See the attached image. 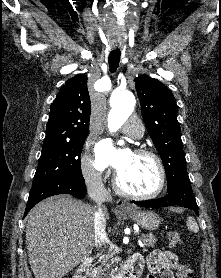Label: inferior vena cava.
<instances>
[{"label":"inferior vena cava","mask_w":221,"mask_h":278,"mask_svg":"<svg viewBox=\"0 0 221 278\" xmlns=\"http://www.w3.org/2000/svg\"><path fill=\"white\" fill-rule=\"evenodd\" d=\"M86 186L89 197L96 203V211L94 215V236L95 245L101 246L107 239L106 235V218L104 202L112 201V197L105 188L101 174L91 170L86 176ZM109 255L104 257L103 262H107Z\"/></svg>","instance_id":"obj_1"}]
</instances>
